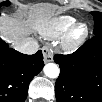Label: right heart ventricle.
Wrapping results in <instances>:
<instances>
[{"label":"right heart ventricle","mask_w":102,"mask_h":102,"mask_svg":"<svg viewBox=\"0 0 102 102\" xmlns=\"http://www.w3.org/2000/svg\"><path fill=\"white\" fill-rule=\"evenodd\" d=\"M75 19L70 16L58 17L44 26L41 34L47 39L57 38L66 33L74 24Z\"/></svg>","instance_id":"e07e8e85"}]
</instances>
